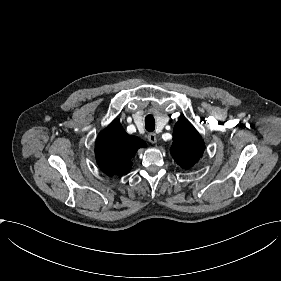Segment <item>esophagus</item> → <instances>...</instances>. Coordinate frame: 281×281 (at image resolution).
I'll return each instance as SVG.
<instances>
[{
	"label": "esophagus",
	"mask_w": 281,
	"mask_h": 281,
	"mask_svg": "<svg viewBox=\"0 0 281 281\" xmlns=\"http://www.w3.org/2000/svg\"><path fill=\"white\" fill-rule=\"evenodd\" d=\"M147 138L153 144L157 142V135L155 133H149Z\"/></svg>",
	"instance_id": "obj_1"
}]
</instances>
